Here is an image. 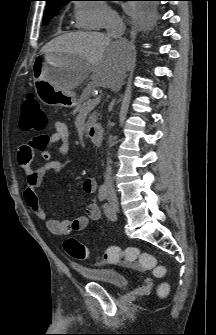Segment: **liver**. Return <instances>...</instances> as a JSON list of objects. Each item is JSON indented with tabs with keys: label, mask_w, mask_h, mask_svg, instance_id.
I'll list each match as a JSON object with an SVG mask.
<instances>
[{
	"label": "liver",
	"mask_w": 216,
	"mask_h": 335,
	"mask_svg": "<svg viewBox=\"0 0 216 335\" xmlns=\"http://www.w3.org/2000/svg\"><path fill=\"white\" fill-rule=\"evenodd\" d=\"M134 47L127 40L112 41L100 32H71L60 35L41 49L44 54L69 55L71 65L57 85L69 92L91 74L89 87L118 90L121 79L131 64Z\"/></svg>",
	"instance_id": "obj_1"
}]
</instances>
